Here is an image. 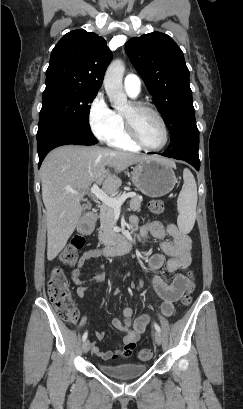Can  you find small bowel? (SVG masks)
I'll use <instances>...</instances> for the list:
<instances>
[{
  "mask_svg": "<svg viewBox=\"0 0 243 409\" xmlns=\"http://www.w3.org/2000/svg\"><path fill=\"white\" fill-rule=\"evenodd\" d=\"M132 226L137 229L143 239H147L149 236L155 237L160 242L161 249L165 255L168 256L165 262L164 255L161 253L152 254L148 260L150 271L152 272L153 287L162 299L161 312L165 316H170L173 313V303L176 302L183 294L187 287L188 278L181 270L189 266L192 260V241L190 237L182 232L176 224L172 222H162L158 220H148L147 222L139 225L136 217L131 218ZM166 236L170 237V240H166ZM101 256L100 249L94 248L85 251L80 257L76 268L71 271L72 282L78 286L77 295L83 297L86 291L84 283L86 279L83 278V268L92 259ZM166 272L173 276L172 282H166L159 274V270L164 266ZM103 265L100 264L101 268ZM106 275L104 272H100L94 275L91 279L94 283H101L105 281ZM120 290L116 289L115 294H119ZM133 310L130 307H125L122 310V318H115L113 320L114 328L124 333V337L121 343L116 344L119 349L114 351L101 350L96 343H92L91 351L94 355L100 357L103 360L113 359H126L128 358L136 347V343L140 338V335L146 330L149 323V317L147 314L139 315L132 325ZM88 322L87 318L82 320V325ZM105 334L102 331L96 332V337L99 340L104 338ZM121 347V348H120Z\"/></svg>",
  "mask_w": 243,
  "mask_h": 409,
  "instance_id": "c3829d8e",
  "label": "small bowel"
}]
</instances>
